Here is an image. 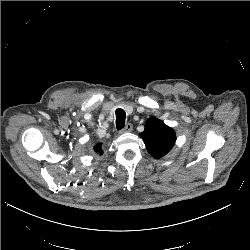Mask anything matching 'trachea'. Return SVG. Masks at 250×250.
I'll list each match as a JSON object with an SVG mask.
<instances>
[{
	"label": "trachea",
	"mask_w": 250,
	"mask_h": 250,
	"mask_svg": "<svg viewBox=\"0 0 250 250\" xmlns=\"http://www.w3.org/2000/svg\"><path fill=\"white\" fill-rule=\"evenodd\" d=\"M116 128L117 130H121L125 127V111L121 108L117 109L116 112Z\"/></svg>",
	"instance_id": "1"
}]
</instances>
